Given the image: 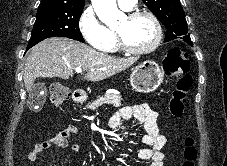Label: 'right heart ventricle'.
Here are the masks:
<instances>
[{"label":"right heart ventricle","mask_w":227,"mask_h":166,"mask_svg":"<svg viewBox=\"0 0 227 166\" xmlns=\"http://www.w3.org/2000/svg\"><path fill=\"white\" fill-rule=\"evenodd\" d=\"M108 30H109V32H110V34H111V36H112V39H113V42H112V47H113V45H114V40H115V36H114V33H113L112 30H110V29H108Z\"/></svg>","instance_id":"1"}]
</instances>
